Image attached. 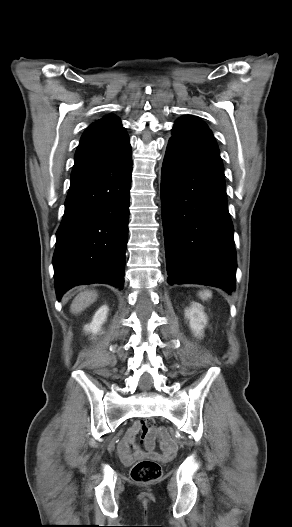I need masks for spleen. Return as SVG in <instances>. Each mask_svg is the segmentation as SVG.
<instances>
[{
    "label": "spleen",
    "mask_w": 292,
    "mask_h": 527,
    "mask_svg": "<svg viewBox=\"0 0 292 527\" xmlns=\"http://www.w3.org/2000/svg\"><path fill=\"white\" fill-rule=\"evenodd\" d=\"M199 296L201 297V299L206 300L212 296V293L209 290H205V291L200 292Z\"/></svg>",
    "instance_id": "spleen-1"
}]
</instances>
